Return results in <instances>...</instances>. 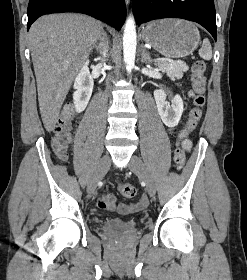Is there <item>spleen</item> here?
Wrapping results in <instances>:
<instances>
[{"label": "spleen", "mask_w": 247, "mask_h": 280, "mask_svg": "<svg viewBox=\"0 0 247 280\" xmlns=\"http://www.w3.org/2000/svg\"><path fill=\"white\" fill-rule=\"evenodd\" d=\"M199 56L205 60H211L212 58V47L208 39L203 40L202 47L199 50Z\"/></svg>", "instance_id": "spleen-1"}]
</instances>
